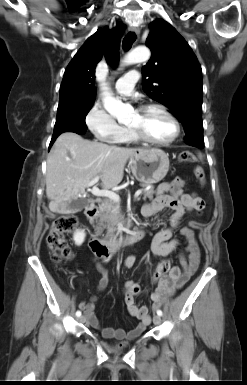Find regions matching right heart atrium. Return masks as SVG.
Returning a JSON list of instances; mask_svg holds the SVG:
<instances>
[{
    "mask_svg": "<svg viewBox=\"0 0 247 385\" xmlns=\"http://www.w3.org/2000/svg\"><path fill=\"white\" fill-rule=\"evenodd\" d=\"M85 122L90 132L106 143H118L124 130L99 102H95L89 109Z\"/></svg>",
    "mask_w": 247,
    "mask_h": 385,
    "instance_id": "1",
    "label": "right heart atrium"
}]
</instances>
